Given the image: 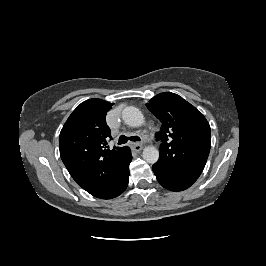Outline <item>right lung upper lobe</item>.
I'll return each instance as SVG.
<instances>
[{"label": "right lung upper lobe", "instance_id": "right-lung-upper-lobe-1", "mask_svg": "<svg viewBox=\"0 0 266 266\" xmlns=\"http://www.w3.org/2000/svg\"><path fill=\"white\" fill-rule=\"evenodd\" d=\"M113 103L89 99L65 122L59 136L61 159L72 178L91 195L102 198L115 185L129 147L107 146L112 139L106 114Z\"/></svg>", "mask_w": 266, "mask_h": 266}]
</instances>
